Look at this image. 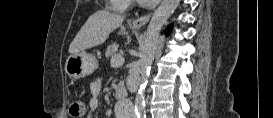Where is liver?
Here are the masks:
<instances>
[{
  "label": "liver",
  "instance_id": "obj_1",
  "mask_svg": "<svg viewBox=\"0 0 273 118\" xmlns=\"http://www.w3.org/2000/svg\"><path fill=\"white\" fill-rule=\"evenodd\" d=\"M124 16L100 10L92 14L69 46L70 54L103 44L109 34L122 25Z\"/></svg>",
  "mask_w": 273,
  "mask_h": 118
}]
</instances>
